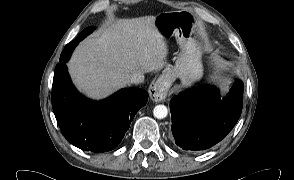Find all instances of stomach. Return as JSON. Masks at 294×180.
<instances>
[{"mask_svg":"<svg viewBox=\"0 0 294 180\" xmlns=\"http://www.w3.org/2000/svg\"><path fill=\"white\" fill-rule=\"evenodd\" d=\"M154 24L165 38L175 36L181 47L175 65L166 69V86H170L176 78L181 80L182 86L200 80L203 75L202 52L194 16L188 11L162 12L155 17Z\"/></svg>","mask_w":294,"mask_h":180,"instance_id":"stomach-1","label":"stomach"}]
</instances>
